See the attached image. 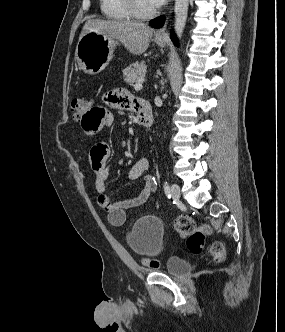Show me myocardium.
I'll return each instance as SVG.
<instances>
[{
	"label": "myocardium",
	"instance_id": "f54148a6",
	"mask_svg": "<svg viewBox=\"0 0 285 332\" xmlns=\"http://www.w3.org/2000/svg\"><path fill=\"white\" fill-rule=\"evenodd\" d=\"M125 5L131 16L138 20H146L154 17L157 10L154 8L150 11H144L140 8L138 0H124Z\"/></svg>",
	"mask_w": 285,
	"mask_h": 332
}]
</instances>
